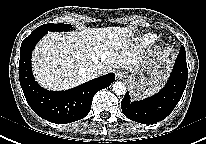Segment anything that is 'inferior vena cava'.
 <instances>
[{
  "instance_id": "inferior-vena-cava-1",
  "label": "inferior vena cava",
  "mask_w": 206,
  "mask_h": 144,
  "mask_svg": "<svg viewBox=\"0 0 206 144\" xmlns=\"http://www.w3.org/2000/svg\"><path fill=\"white\" fill-rule=\"evenodd\" d=\"M103 74V69L99 66H91L86 70V75L88 79H94Z\"/></svg>"
}]
</instances>
